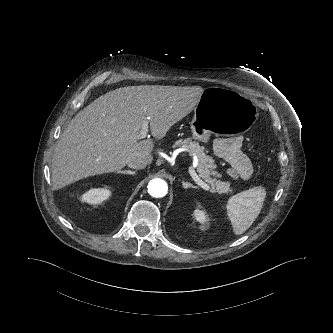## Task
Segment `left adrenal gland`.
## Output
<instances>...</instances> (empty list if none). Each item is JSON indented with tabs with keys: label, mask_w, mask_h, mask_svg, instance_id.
<instances>
[{
	"label": "left adrenal gland",
	"mask_w": 333,
	"mask_h": 333,
	"mask_svg": "<svg viewBox=\"0 0 333 333\" xmlns=\"http://www.w3.org/2000/svg\"><path fill=\"white\" fill-rule=\"evenodd\" d=\"M182 186H183L184 189H187V188L198 189L197 186H194L193 184H191L189 182H185L184 180H182Z\"/></svg>",
	"instance_id": "a2214340"
}]
</instances>
